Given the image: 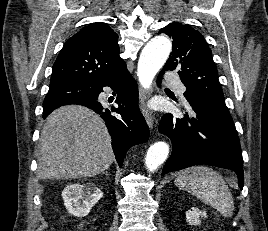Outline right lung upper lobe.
Returning a JSON list of instances; mask_svg holds the SVG:
<instances>
[{
	"mask_svg": "<svg viewBox=\"0 0 268 231\" xmlns=\"http://www.w3.org/2000/svg\"><path fill=\"white\" fill-rule=\"evenodd\" d=\"M119 53L118 35L108 25H88L63 46L53 65L50 85L74 83L91 87L125 64ZM63 103H43V109Z\"/></svg>",
	"mask_w": 268,
	"mask_h": 231,
	"instance_id": "obj_1",
	"label": "right lung upper lobe"
}]
</instances>
